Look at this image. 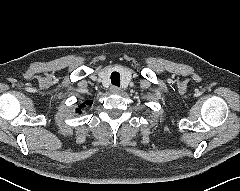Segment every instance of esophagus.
Masks as SVG:
<instances>
[{"instance_id": "obj_1", "label": "esophagus", "mask_w": 240, "mask_h": 191, "mask_svg": "<svg viewBox=\"0 0 240 191\" xmlns=\"http://www.w3.org/2000/svg\"><path fill=\"white\" fill-rule=\"evenodd\" d=\"M110 91H111V93H113V94H118V93H120V88L117 87V86H111V87H110Z\"/></svg>"}]
</instances>
